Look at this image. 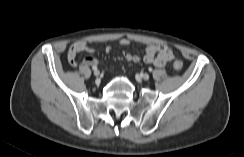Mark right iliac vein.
Wrapping results in <instances>:
<instances>
[{"instance_id":"63e3f726","label":"right iliac vein","mask_w":244,"mask_h":157,"mask_svg":"<svg viewBox=\"0 0 244 157\" xmlns=\"http://www.w3.org/2000/svg\"><path fill=\"white\" fill-rule=\"evenodd\" d=\"M94 75H95V77H99L100 72L97 70V71L94 72Z\"/></svg>"}]
</instances>
